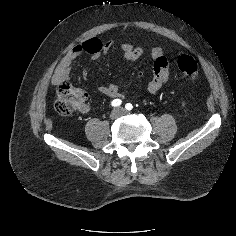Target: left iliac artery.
<instances>
[{"mask_svg":"<svg viewBox=\"0 0 236 236\" xmlns=\"http://www.w3.org/2000/svg\"><path fill=\"white\" fill-rule=\"evenodd\" d=\"M125 108L130 111V110H132L133 106H132L131 103H127V104L125 105Z\"/></svg>","mask_w":236,"mask_h":236,"instance_id":"left-iliac-artery-1","label":"left iliac artery"}]
</instances>
